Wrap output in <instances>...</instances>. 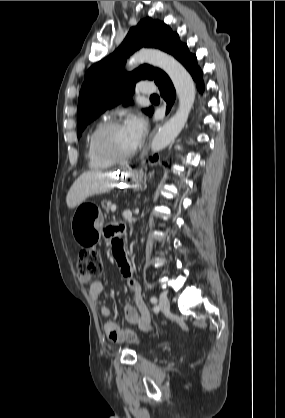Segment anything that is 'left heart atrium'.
I'll use <instances>...</instances> for the list:
<instances>
[{
  "label": "left heart atrium",
  "instance_id": "obj_1",
  "mask_svg": "<svg viewBox=\"0 0 285 418\" xmlns=\"http://www.w3.org/2000/svg\"><path fill=\"white\" fill-rule=\"evenodd\" d=\"M125 128L132 137L135 146L140 142L147 129V123L144 117L138 113L131 114L126 122Z\"/></svg>",
  "mask_w": 285,
  "mask_h": 418
}]
</instances>
